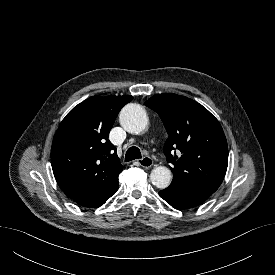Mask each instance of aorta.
I'll use <instances>...</instances> for the list:
<instances>
[{
	"mask_svg": "<svg viewBox=\"0 0 275 275\" xmlns=\"http://www.w3.org/2000/svg\"><path fill=\"white\" fill-rule=\"evenodd\" d=\"M121 126L128 132L142 133L148 124V117L144 108L135 103L127 104L120 112ZM171 171L164 166L154 168L150 174L151 183L157 188H167L171 183Z\"/></svg>",
	"mask_w": 275,
	"mask_h": 275,
	"instance_id": "aorta-1",
	"label": "aorta"
}]
</instances>
